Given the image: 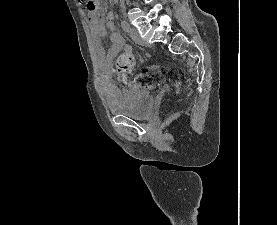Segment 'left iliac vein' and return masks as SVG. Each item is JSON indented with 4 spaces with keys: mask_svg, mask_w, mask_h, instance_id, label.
Returning <instances> with one entry per match:
<instances>
[{
    "mask_svg": "<svg viewBox=\"0 0 277 225\" xmlns=\"http://www.w3.org/2000/svg\"><path fill=\"white\" fill-rule=\"evenodd\" d=\"M132 40L139 45H148L139 35V32L135 28H131L129 31Z\"/></svg>",
    "mask_w": 277,
    "mask_h": 225,
    "instance_id": "1",
    "label": "left iliac vein"
}]
</instances>
